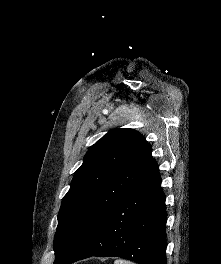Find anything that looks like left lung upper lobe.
Wrapping results in <instances>:
<instances>
[{
	"label": "left lung upper lobe",
	"mask_w": 221,
	"mask_h": 264,
	"mask_svg": "<svg viewBox=\"0 0 221 264\" xmlns=\"http://www.w3.org/2000/svg\"><path fill=\"white\" fill-rule=\"evenodd\" d=\"M151 150L139 132L113 129L87 151L58 213L55 261L70 254L157 167Z\"/></svg>",
	"instance_id": "1"
}]
</instances>
